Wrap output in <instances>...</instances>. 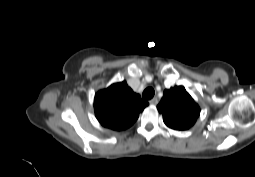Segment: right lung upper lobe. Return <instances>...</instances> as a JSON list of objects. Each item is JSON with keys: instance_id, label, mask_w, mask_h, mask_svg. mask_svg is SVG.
Instances as JSON below:
<instances>
[{"instance_id": "1", "label": "right lung upper lobe", "mask_w": 255, "mask_h": 177, "mask_svg": "<svg viewBox=\"0 0 255 177\" xmlns=\"http://www.w3.org/2000/svg\"><path fill=\"white\" fill-rule=\"evenodd\" d=\"M146 106L148 102L134 93L126 81L98 91L94 98L97 120L102 126L116 131L133 125Z\"/></svg>"}]
</instances>
